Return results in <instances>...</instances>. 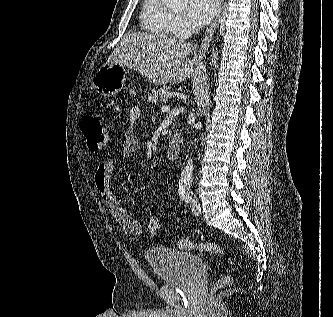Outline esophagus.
Segmentation results:
<instances>
[{"instance_id":"1","label":"esophagus","mask_w":333,"mask_h":317,"mask_svg":"<svg viewBox=\"0 0 333 317\" xmlns=\"http://www.w3.org/2000/svg\"><path fill=\"white\" fill-rule=\"evenodd\" d=\"M223 3H224V0H219L218 13H217L214 21L211 23L210 27L205 32V35H204L201 45H200V49L198 51L199 57H203L205 55L206 51L208 50V47L212 40L213 34L216 31V29L219 25V22H220V18H221L222 11H223Z\"/></svg>"}]
</instances>
